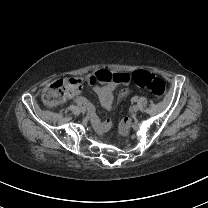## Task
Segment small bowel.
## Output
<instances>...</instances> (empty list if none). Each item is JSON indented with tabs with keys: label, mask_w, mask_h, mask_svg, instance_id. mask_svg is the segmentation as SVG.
Instances as JSON below:
<instances>
[{
	"label": "small bowel",
	"mask_w": 208,
	"mask_h": 208,
	"mask_svg": "<svg viewBox=\"0 0 208 208\" xmlns=\"http://www.w3.org/2000/svg\"><path fill=\"white\" fill-rule=\"evenodd\" d=\"M127 81H128V76L126 74L118 73V74H116V77L111 82H104V83H102V85H97L94 87V90L98 94V96L100 98V102L105 109L108 110L112 106V93H113V90L115 89V87L120 84H125ZM126 95H127V91L122 90L117 97V102H120L121 100H123L126 97ZM72 98L74 100H77L78 102H81L87 108L89 114L91 115V121L94 123L95 127L99 131H107L108 129H110L111 124L107 121L100 122L98 120V118L93 114V112H94L93 107L86 101V99L84 97L80 96L78 90H75V93ZM46 105L49 108L53 107L52 104L46 103ZM103 123L109 124V126L106 130H102Z\"/></svg>",
	"instance_id": "obj_1"
}]
</instances>
